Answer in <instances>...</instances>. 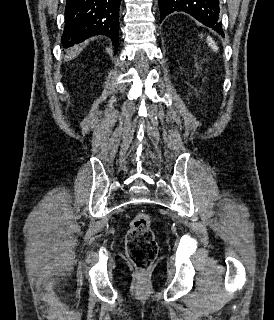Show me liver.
<instances>
[{
    "instance_id": "liver-1",
    "label": "liver",
    "mask_w": 274,
    "mask_h": 320,
    "mask_svg": "<svg viewBox=\"0 0 274 320\" xmlns=\"http://www.w3.org/2000/svg\"><path fill=\"white\" fill-rule=\"evenodd\" d=\"M86 44H88V40H86L84 44H81V46H74V48H69V50H66V54L64 56L65 62H69V60H73V58H76V56H79L83 48H86Z\"/></svg>"
}]
</instances>
